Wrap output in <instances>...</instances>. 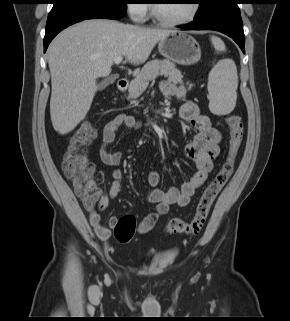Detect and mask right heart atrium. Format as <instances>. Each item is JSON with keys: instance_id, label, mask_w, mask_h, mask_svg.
I'll use <instances>...</instances> for the list:
<instances>
[{"instance_id": "obj_1", "label": "right heart atrium", "mask_w": 290, "mask_h": 321, "mask_svg": "<svg viewBox=\"0 0 290 321\" xmlns=\"http://www.w3.org/2000/svg\"><path fill=\"white\" fill-rule=\"evenodd\" d=\"M145 0H129L126 5V11L134 22H142L148 14V6Z\"/></svg>"}]
</instances>
